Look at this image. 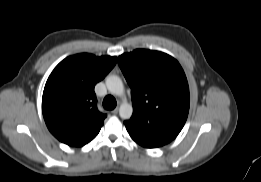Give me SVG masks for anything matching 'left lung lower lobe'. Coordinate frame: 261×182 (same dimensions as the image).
<instances>
[{"label": "left lung lower lobe", "instance_id": "0a47b994", "mask_svg": "<svg viewBox=\"0 0 261 182\" xmlns=\"http://www.w3.org/2000/svg\"><path fill=\"white\" fill-rule=\"evenodd\" d=\"M134 141H136L138 144H140L143 147L146 148H155V147H160L163 146L164 144L156 142V141H151V140H146V139H140L138 137L131 136Z\"/></svg>", "mask_w": 261, "mask_h": 182}]
</instances>
